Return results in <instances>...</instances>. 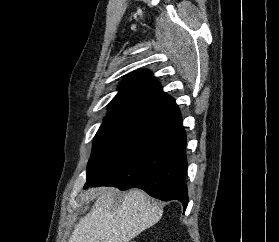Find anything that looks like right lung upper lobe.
Here are the masks:
<instances>
[{"instance_id": "1", "label": "right lung upper lobe", "mask_w": 279, "mask_h": 242, "mask_svg": "<svg viewBox=\"0 0 279 242\" xmlns=\"http://www.w3.org/2000/svg\"><path fill=\"white\" fill-rule=\"evenodd\" d=\"M173 98L169 97L148 70L127 76L119 92L110 103L109 114L145 113L162 117L177 110Z\"/></svg>"}]
</instances>
